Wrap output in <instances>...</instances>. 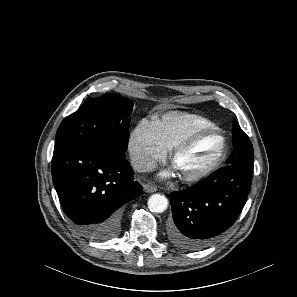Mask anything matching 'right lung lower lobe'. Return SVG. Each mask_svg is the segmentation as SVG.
I'll return each instance as SVG.
<instances>
[{
  "label": "right lung lower lobe",
  "mask_w": 297,
  "mask_h": 297,
  "mask_svg": "<svg viewBox=\"0 0 297 297\" xmlns=\"http://www.w3.org/2000/svg\"><path fill=\"white\" fill-rule=\"evenodd\" d=\"M51 167L63 211L77 231L95 241L116 236L122 206L142 192L125 153L99 142L60 144Z\"/></svg>",
  "instance_id": "obj_1"
}]
</instances>
